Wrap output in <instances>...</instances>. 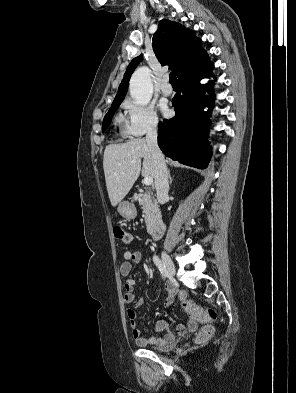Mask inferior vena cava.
<instances>
[{"instance_id":"inferior-vena-cava-1","label":"inferior vena cava","mask_w":296,"mask_h":393,"mask_svg":"<svg viewBox=\"0 0 296 393\" xmlns=\"http://www.w3.org/2000/svg\"><path fill=\"white\" fill-rule=\"evenodd\" d=\"M157 124H154L147 132L146 142L152 153L155 165V188L157 200L160 204H164L168 198L169 184L168 171L165 164L164 156L157 143Z\"/></svg>"}]
</instances>
